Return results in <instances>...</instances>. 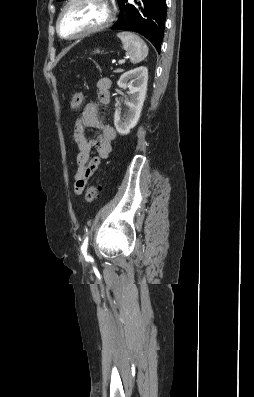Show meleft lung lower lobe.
Returning <instances> with one entry per match:
<instances>
[{"label": "left lung lower lobe", "mask_w": 254, "mask_h": 397, "mask_svg": "<svg viewBox=\"0 0 254 397\" xmlns=\"http://www.w3.org/2000/svg\"><path fill=\"white\" fill-rule=\"evenodd\" d=\"M118 0L120 15L113 30H131L145 36L160 53L166 20V0Z\"/></svg>", "instance_id": "left-lung-lower-lobe-1"}]
</instances>
